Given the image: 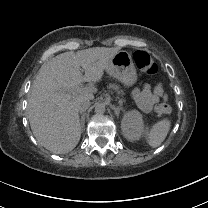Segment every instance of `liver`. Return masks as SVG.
I'll use <instances>...</instances> for the list:
<instances>
[{
	"label": "liver",
	"mask_w": 208,
	"mask_h": 208,
	"mask_svg": "<svg viewBox=\"0 0 208 208\" xmlns=\"http://www.w3.org/2000/svg\"><path fill=\"white\" fill-rule=\"evenodd\" d=\"M120 47H93L61 53L42 65L33 82L27 117L37 141L55 154L72 151L81 137L77 100H94L98 88L80 92L81 67L91 82H101Z\"/></svg>",
	"instance_id": "liver-1"
}]
</instances>
